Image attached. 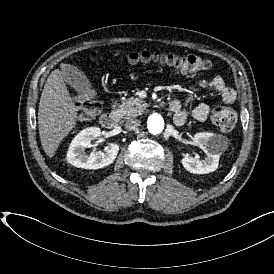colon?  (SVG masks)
<instances>
[{
	"instance_id": "obj_1",
	"label": "colon",
	"mask_w": 274,
	"mask_h": 274,
	"mask_svg": "<svg viewBox=\"0 0 274 274\" xmlns=\"http://www.w3.org/2000/svg\"><path fill=\"white\" fill-rule=\"evenodd\" d=\"M165 65L182 74H195L209 70L210 61L196 54L164 52L141 49L128 53L120 61V65ZM73 100L80 107L83 116H90L98 111V103L90 89L79 91ZM213 124L221 131H231L237 122L235 110L230 106H220L212 113Z\"/></svg>"
}]
</instances>
